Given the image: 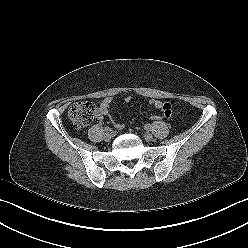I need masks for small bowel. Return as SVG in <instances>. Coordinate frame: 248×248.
<instances>
[{"label": "small bowel", "instance_id": "obj_1", "mask_svg": "<svg viewBox=\"0 0 248 248\" xmlns=\"http://www.w3.org/2000/svg\"><path fill=\"white\" fill-rule=\"evenodd\" d=\"M112 98L106 97L102 100V102L99 104V106L95 109V118L98 122L102 121L105 116L109 115L110 112V104H111ZM131 101V97H126L125 102L129 103ZM150 104L154 106L155 108L161 110L163 112V115L165 118H170L172 115V106L168 102H162L159 100H151ZM114 126L117 129H123L124 124L121 122L114 121Z\"/></svg>", "mask_w": 248, "mask_h": 248}]
</instances>
